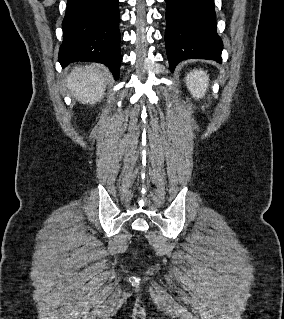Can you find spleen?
Listing matches in <instances>:
<instances>
[{
  "mask_svg": "<svg viewBox=\"0 0 284 319\" xmlns=\"http://www.w3.org/2000/svg\"><path fill=\"white\" fill-rule=\"evenodd\" d=\"M208 80L209 76L205 71L194 70L186 76L187 88L194 97L201 98L208 88Z\"/></svg>",
  "mask_w": 284,
  "mask_h": 319,
  "instance_id": "obj_1",
  "label": "spleen"
}]
</instances>
